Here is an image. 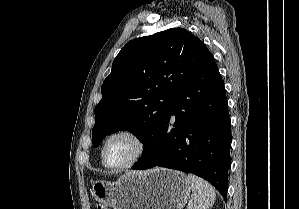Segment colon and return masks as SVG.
<instances>
[{"instance_id":"1","label":"colon","mask_w":299,"mask_h":209,"mask_svg":"<svg viewBox=\"0 0 299 209\" xmlns=\"http://www.w3.org/2000/svg\"><path fill=\"white\" fill-rule=\"evenodd\" d=\"M98 209H104L103 207H101V206H98Z\"/></svg>"}]
</instances>
